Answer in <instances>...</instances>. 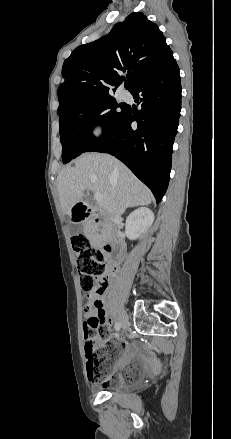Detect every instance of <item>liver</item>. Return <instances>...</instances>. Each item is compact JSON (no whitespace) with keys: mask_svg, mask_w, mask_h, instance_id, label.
Segmentation results:
<instances>
[{"mask_svg":"<svg viewBox=\"0 0 231 439\" xmlns=\"http://www.w3.org/2000/svg\"><path fill=\"white\" fill-rule=\"evenodd\" d=\"M57 188L63 214L69 216L86 189L104 196L98 205L110 217L153 200L150 190L122 162L107 154L81 155L75 166L59 173Z\"/></svg>","mask_w":231,"mask_h":439,"instance_id":"6515ba94","label":"liver"}]
</instances>
